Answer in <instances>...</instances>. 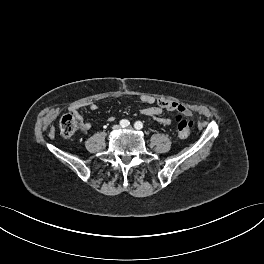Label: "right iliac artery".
I'll return each mask as SVG.
<instances>
[{
    "label": "right iliac artery",
    "instance_id": "82829eb1",
    "mask_svg": "<svg viewBox=\"0 0 264 264\" xmlns=\"http://www.w3.org/2000/svg\"><path fill=\"white\" fill-rule=\"evenodd\" d=\"M129 125H130V122L128 120H126V119H123V120L120 121V126L123 127V128H125V127H127Z\"/></svg>",
    "mask_w": 264,
    "mask_h": 264
}]
</instances>
